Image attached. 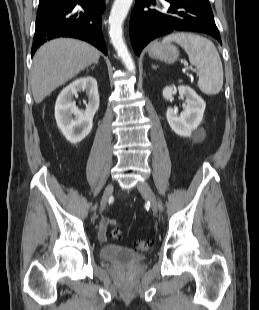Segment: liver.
I'll list each match as a JSON object with an SVG mask.
<instances>
[{
  "mask_svg": "<svg viewBox=\"0 0 259 310\" xmlns=\"http://www.w3.org/2000/svg\"><path fill=\"white\" fill-rule=\"evenodd\" d=\"M92 45L71 38H58L41 46L33 60L32 94L36 103L100 58Z\"/></svg>",
  "mask_w": 259,
  "mask_h": 310,
  "instance_id": "6515ba94",
  "label": "liver"
}]
</instances>
